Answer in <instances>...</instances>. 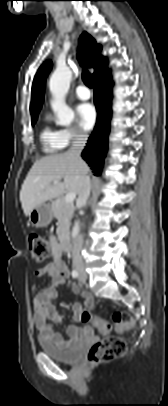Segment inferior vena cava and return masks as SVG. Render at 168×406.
<instances>
[{
	"instance_id": "inferior-vena-cava-1",
	"label": "inferior vena cava",
	"mask_w": 168,
	"mask_h": 406,
	"mask_svg": "<svg viewBox=\"0 0 168 406\" xmlns=\"http://www.w3.org/2000/svg\"><path fill=\"white\" fill-rule=\"evenodd\" d=\"M87 139L88 135L86 134L76 135L71 148L68 150V153L72 155L79 164L83 163V160L81 159V152L84 149ZM90 192H91V180L90 177L87 175V173H85L82 176V188L77 199L78 208H82L83 206L86 205L87 200L90 196ZM82 245H83V236L77 235L73 240V248H72L73 264L75 265L76 268L83 267V259L81 256Z\"/></svg>"
}]
</instances>
